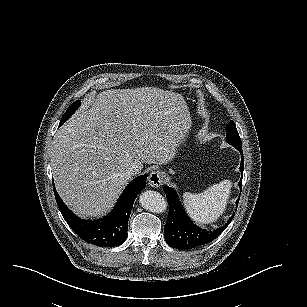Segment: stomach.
<instances>
[{
	"mask_svg": "<svg viewBox=\"0 0 307 307\" xmlns=\"http://www.w3.org/2000/svg\"><path fill=\"white\" fill-rule=\"evenodd\" d=\"M168 175H169L168 173L164 172V176H165V177H167Z\"/></svg>",
	"mask_w": 307,
	"mask_h": 307,
	"instance_id": "1",
	"label": "stomach"
}]
</instances>
